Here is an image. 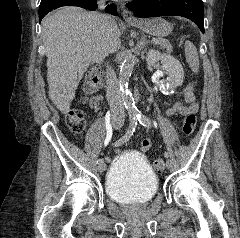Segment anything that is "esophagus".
I'll use <instances>...</instances> for the list:
<instances>
[{
    "label": "esophagus",
    "mask_w": 240,
    "mask_h": 238,
    "mask_svg": "<svg viewBox=\"0 0 240 238\" xmlns=\"http://www.w3.org/2000/svg\"><path fill=\"white\" fill-rule=\"evenodd\" d=\"M122 17L125 19V20H135V16L133 15V13L128 10V9H123L122 10Z\"/></svg>",
    "instance_id": "34e87169"
}]
</instances>
